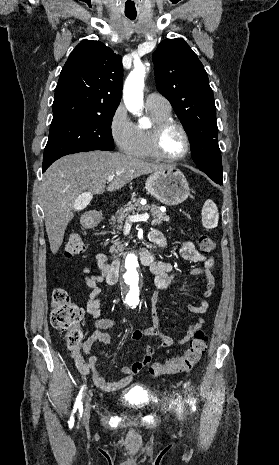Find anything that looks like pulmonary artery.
I'll return each instance as SVG.
<instances>
[{"label": "pulmonary artery", "mask_w": 279, "mask_h": 465, "mask_svg": "<svg viewBox=\"0 0 279 465\" xmlns=\"http://www.w3.org/2000/svg\"><path fill=\"white\" fill-rule=\"evenodd\" d=\"M145 104L147 107L157 108L165 111L171 110L169 101L158 93H150L146 97Z\"/></svg>", "instance_id": "1"}]
</instances>
